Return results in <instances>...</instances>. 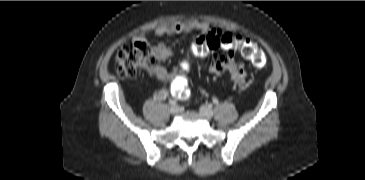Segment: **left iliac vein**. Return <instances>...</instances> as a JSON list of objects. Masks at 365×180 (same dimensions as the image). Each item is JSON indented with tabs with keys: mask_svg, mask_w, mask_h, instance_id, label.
<instances>
[{
	"mask_svg": "<svg viewBox=\"0 0 365 180\" xmlns=\"http://www.w3.org/2000/svg\"><path fill=\"white\" fill-rule=\"evenodd\" d=\"M200 114L207 119H211L213 117V110L208 105H202L200 107Z\"/></svg>",
	"mask_w": 365,
	"mask_h": 180,
	"instance_id": "4c4485c4",
	"label": "left iliac vein"
}]
</instances>
